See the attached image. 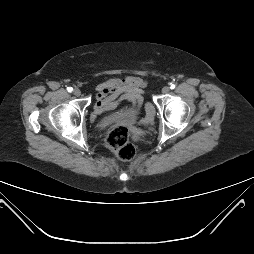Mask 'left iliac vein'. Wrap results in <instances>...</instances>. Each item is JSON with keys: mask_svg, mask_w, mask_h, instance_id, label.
<instances>
[{"mask_svg": "<svg viewBox=\"0 0 254 254\" xmlns=\"http://www.w3.org/2000/svg\"><path fill=\"white\" fill-rule=\"evenodd\" d=\"M169 91H170V87H168V86H164L162 88V93H164V94H167Z\"/></svg>", "mask_w": 254, "mask_h": 254, "instance_id": "4c4485c4", "label": "left iliac vein"}]
</instances>
